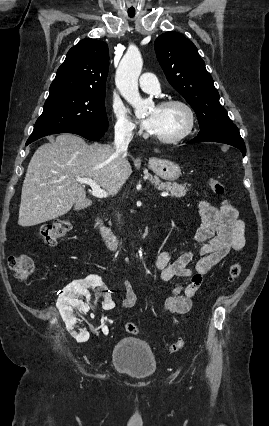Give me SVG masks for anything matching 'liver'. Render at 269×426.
Here are the masks:
<instances>
[{
  "label": "liver",
  "instance_id": "6515ba94",
  "mask_svg": "<svg viewBox=\"0 0 269 426\" xmlns=\"http://www.w3.org/2000/svg\"><path fill=\"white\" fill-rule=\"evenodd\" d=\"M132 173L127 152L108 144H88L61 134L32 156L22 186L18 224L35 226L92 205L78 178L96 181L109 194L118 193Z\"/></svg>",
  "mask_w": 269,
  "mask_h": 426
}]
</instances>
